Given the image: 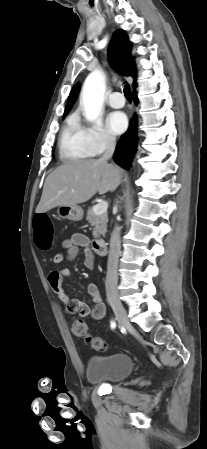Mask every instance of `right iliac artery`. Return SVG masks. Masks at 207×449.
<instances>
[{
    "instance_id": "82829eb1",
    "label": "right iliac artery",
    "mask_w": 207,
    "mask_h": 449,
    "mask_svg": "<svg viewBox=\"0 0 207 449\" xmlns=\"http://www.w3.org/2000/svg\"><path fill=\"white\" fill-rule=\"evenodd\" d=\"M111 328H112V329H115V328H116V322H115V320H112V321H111Z\"/></svg>"
}]
</instances>
